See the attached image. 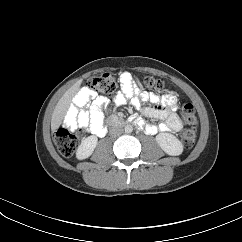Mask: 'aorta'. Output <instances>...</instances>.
<instances>
[{
  "instance_id": "762f6f07",
  "label": "aorta",
  "mask_w": 242,
  "mask_h": 242,
  "mask_svg": "<svg viewBox=\"0 0 242 242\" xmlns=\"http://www.w3.org/2000/svg\"><path fill=\"white\" fill-rule=\"evenodd\" d=\"M124 130H125L126 133H131L133 131V126L132 125H126Z\"/></svg>"
}]
</instances>
